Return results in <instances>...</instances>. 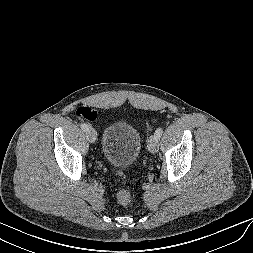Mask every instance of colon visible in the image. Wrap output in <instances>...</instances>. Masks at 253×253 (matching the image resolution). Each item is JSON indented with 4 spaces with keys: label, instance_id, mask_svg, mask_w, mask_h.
<instances>
[{
    "label": "colon",
    "instance_id": "5ec220e1",
    "mask_svg": "<svg viewBox=\"0 0 253 253\" xmlns=\"http://www.w3.org/2000/svg\"><path fill=\"white\" fill-rule=\"evenodd\" d=\"M77 115L83 120L91 121L95 116V111L89 107H81L77 110ZM118 175L125 178L123 172L118 171ZM116 199L123 206H132L135 203V197L130 189L121 187L116 192Z\"/></svg>",
    "mask_w": 253,
    "mask_h": 253
}]
</instances>
